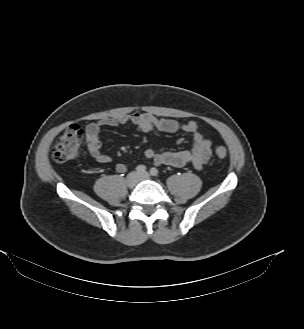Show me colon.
Instances as JSON below:
<instances>
[{
    "instance_id": "colon-1",
    "label": "colon",
    "mask_w": 304,
    "mask_h": 329,
    "mask_svg": "<svg viewBox=\"0 0 304 329\" xmlns=\"http://www.w3.org/2000/svg\"><path fill=\"white\" fill-rule=\"evenodd\" d=\"M83 143V130L78 125L68 127L58 138L53 148V159L58 163L70 161L76 157ZM215 154L225 158L228 154L224 146H218Z\"/></svg>"
}]
</instances>
